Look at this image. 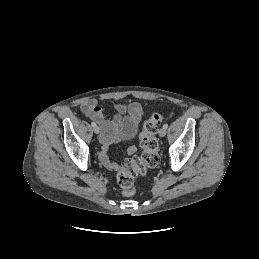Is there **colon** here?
Returning a JSON list of instances; mask_svg holds the SVG:
<instances>
[{
  "mask_svg": "<svg viewBox=\"0 0 259 259\" xmlns=\"http://www.w3.org/2000/svg\"><path fill=\"white\" fill-rule=\"evenodd\" d=\"M164 115L152 113L144 122L142 132L139 135L142 154L125 159L117 169V183L124 196L130 197L135 194V179L145 175L149 168L159 164L158 142L155 137Z\"/></svg>",
  "mask_w": 259,
  "mask_h": 259,
  "instance_id": "1",
  "label": "colon"
}]
</instances>
